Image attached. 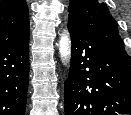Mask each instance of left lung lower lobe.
Masks as SVG:
<instances>
[{
  "label": "left lung lower lobe",
  "mask_w": 131,
  "mask_h": 115,
  "mask_svg": "<svg viewBox=\"0 0 131 115\" xmlns=\"http://www.w3.org/2000/svg\"><path fill=\"white\" fill-rule=\"evenodd\" d=\"M72 55L65 81V115H131V64L68 22Z\"/></svg>",
  "instance_id": "1"
}]
</instances>
